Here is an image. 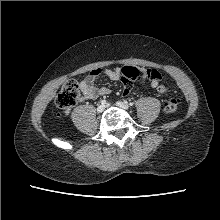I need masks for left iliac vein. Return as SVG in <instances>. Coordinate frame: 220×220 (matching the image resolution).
I'll return each mask as SVG.
<instances>
[{"mask_svg":"<svg viewBox=\"0 0 220 220\" xmlns=\"http://www.w3.org/2000/svg\"><path fill=\"white\" fill-rule=\"evenodd\" d=\"M116 105L121 108V109H124V110H127L129 108V105L125 102H122V101H118L116 102Z\"/></svg>","mask_w":220,"mask_h":220,"instance_id":"4c4485c4","label":"left iliac vein"}]
</instances>
